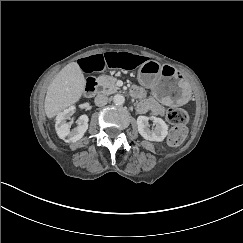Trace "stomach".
I'll list each match as a JSON object with an SVG mask.
<instances>
[{
    "instance_id": "obj_1",
    "label": "stomach",
    "mask_w": 243,
    "mask_h": 243,
    "mask_svg": "<svg viewBox=\"0 0 243 243\" xmlns=\"http://www.w3.org/2000/svg\"><path fill=\"white\" fill-rule=\"evenodd\" d=\"M137 77L139 83L151 89L153 95L164 105L182 106L191 97L189 83L171 65L147 61L139 69Z\"/></svg>"
}]
</instances>
